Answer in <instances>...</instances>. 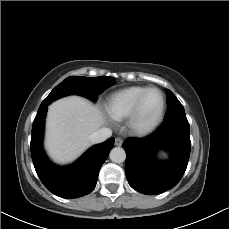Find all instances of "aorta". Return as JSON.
<instances>
[{"label": "aorta", "mask_w": 229, "mask_h": 229, "mask_svg": "<svg viewBox=\"0 0 229 229\" xmlns=\"http://www.w3.org/2000/svg\"><path fill=\"white\" fill-rule=\"evenodd\" d=\"M110 159L114 163H123L126 159V153L123 148L115 147L110 152Z\"/></svg>", "instance_id": "1"}]
</instances>
